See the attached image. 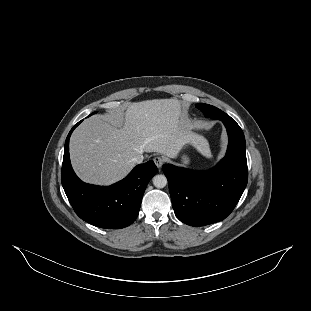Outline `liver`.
Returning <instances> with one entry per match:
<instances>
[{
	"instance_id": "liver-1",
	"label": "liver",
	"mask_w": 311,
	"mask_h": 311,
	"mask_svg": "<svg viewBox=\"0 0 311 311\" xmlns=\"http://www.w3.org/2000/svg\"><path fill=\"white\" fill-rule=\"evenodd\" d=\"M179 114L176 100H151L131 104L112 125L98 117L84 121L70 141L75 171L85 181L111 184L126 176L138 154L157 152L177 159L188 145L197 152L208 148L186 121H179Z\"/></svg>"
}]
</instances>
